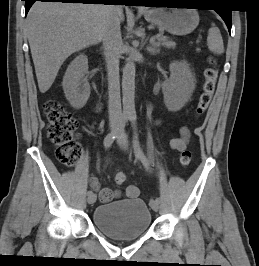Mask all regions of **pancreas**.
I'll list each match as a JSON object with an SVG mask.
<instances>
[{"label":"pancreas","mask_w":259,"mask_h":266,"mask_svg":"<svg viewBox=\"0 0 259 266\" xmlns=\"http://www.w3.org/2000/svg\"><path fill=\"white\" fill-rule=\"evenodd\" d=\"M157 39H158V43H157L158 46L162 45V46L167 47V48H175L176 47V43L168 40L166 37H162V36L158 35Z\"/></svg>","instance_id":"cf45deb5"}]
</instances>
